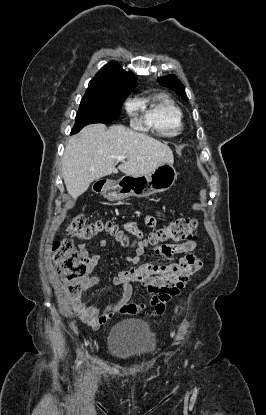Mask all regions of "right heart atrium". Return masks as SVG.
Masks as SVG:
<instances>
[{
  "label": "right heart atrium",
  "mask_w": 266,
  "mask_h": 415,
  "mask_svg": "<svg viewBox=\"0 0 266 415\" xmlns=\"http://www.w3.org/2000/svg\"><path fill=\"white\" fill-rule=\"evenodd\" d=\"M125 109L130 116H134L139 109V104L136 100L130 99L125 103Z\"/></svg>",
  "instance_id": "obj_1"
}]
</instances>
